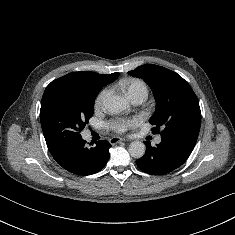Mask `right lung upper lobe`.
<instances>
[{
  "mask_svg": "<svg viewBox=\"0 0 235 235\" xmlns=\"http://www.w3.org/2000/svg\"><path fill=\"white\" fill-rule=\"evenodd\" d=\"M118 76V73H112V74H98L94 72L89 71H83V72H72L65 76H62L54 81H52L45 89L46 93L50 89L64 84H74V83H84L88 84L94 87L99 88L100 90L102 87L110 82H112L116 77ZM49 151H53L56 148H48Z\"/></svg>",
  "mask_w": 235,
  "mask_h": 235,
  "instance_id": "1",
  "label": "right lung upper lobe"
}]
</instances>
